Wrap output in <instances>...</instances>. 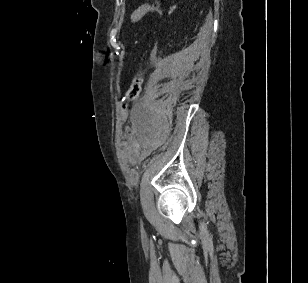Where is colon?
<instances>
[{"label":"colon","instance_id":"1","mask_svg":"<svg viewBox=\"0 0 308 283\" xmlns=\"http://www.w3.org/2000/svg\"><path fill=\"white\" fill-rule=\"evenodd\" d=\"M159 8L160 5L158 2L147 3L138 7L136 10H134V12L131 15L130 19L131 24L138 23L147 12ZM142 85H143V76L139 74L132 80L128 90L125 93V96L123 98L124 108L127 104L135 101L139 97L140 92L142 90Z\"/></svg>","mask_w":308,"mask_h":283}]
</instances>
